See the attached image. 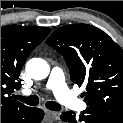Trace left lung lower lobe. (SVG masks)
I'll return each mask as SVG.
<instances>
[{
	"label": "left lung lower lobe",
	"mask_w": 123,
	"mask_h": 123,
	"mask_svg": "<svg viewBox=\"0 0 123 123\" xmlns=\"http://www.w3.org/2000/svg\"><path fill=\"white\" fill-rule=\"evenodd\" d=\"M61 119L69 123H123V115L88 106L79 117L68 111L61 115Z\"/></svg>",
	"instance_id": "left-lung-lower-lobe-1"
}]
</instances>
